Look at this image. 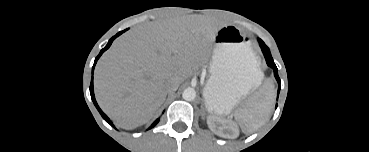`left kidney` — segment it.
Listing matches in <instances>:
<instances>
[{
	"label": "left kidney",
	"instance_id": "1",
	"mask_svg": "<svg viewBox=\"0 0 369 152\" xmlns=\"http://www.w3.org/2000/svg\"><path fill=\"white\" fill-rule=\"evenodd\" d=\"M207 124L216 135L224 138H235L238 136V128L234 122L223 120L215 116H208Z\"/></svg>",
	"mask_w": 369,
	"mask_h": 152
}]
</instances>
